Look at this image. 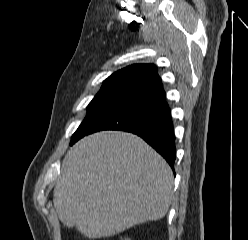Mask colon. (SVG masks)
Wrapping results in <instances>:
<instances>
[{
  "label": "colon",
  "instance_id": "colon-1",
  "mask_svg": "<svg viewBox=\"0 0 248 240\" xmlns=\"http://www.w3.org/2000/svg\"><path fill=\"white\" fill-rule=\"evenodd\" d=\"M118 240H131V239L128 237H123V238H119Z\"/></svg>",
  "mask_w": 248,
  "mask_h": 240
}]
</instances>
